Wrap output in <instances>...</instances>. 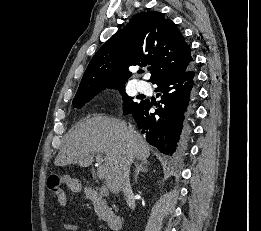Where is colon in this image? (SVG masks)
Masks as SVG:
<instances>
[{"mask_svg":"<svg viewBox=\"0 0 261 231\" xmlns=\"http://www.w3.org/2000/svg\"><path fill=\"white\" fill-rule=\"evenodd\" d=\"M53 192L55 193V195L57 197H60L61 196V192H60V189L58 187V184H55V186L52 188Z\"/></svg>","mask_w":261,"mask_h":231,"instance_id":"1","label":"colon"}]
</instances>
